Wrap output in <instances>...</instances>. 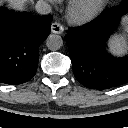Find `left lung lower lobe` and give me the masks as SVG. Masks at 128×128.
<instances>
[{"instance_id":"0a47b994","label":"left lung lower lobe","mask_w":128,"mask_h":128,"mask_svg":"<svg viewBox=\"0 0 128 128\" xmlns=\"http://www.w3.org/2000/svg\"><path fill=\"white\" fill-rule=\"evenodd\" d=\"M128 12V2L108 9L91 22L69 29L66 42L76 79L91 89H108L128 83V57L114 58L105 43L120 17Z\"/></svg>"}]
</instances>
